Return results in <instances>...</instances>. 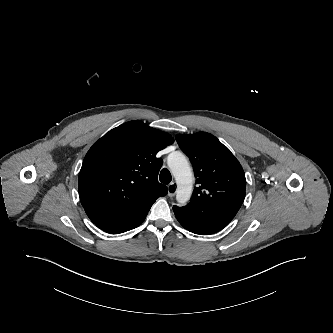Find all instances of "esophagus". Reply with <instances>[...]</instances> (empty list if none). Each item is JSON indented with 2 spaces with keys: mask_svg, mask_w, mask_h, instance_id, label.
<instances>
[{
  "mask_svg": "<svg viewBox=\"0 0 333 333\" xmlns=\"http://www.w3.org/2000/svg\"><path fill=\"white\" fill-rule=\"evenodd\" d=\"M167 189H168V196L173 197L176 193V184L174 182L170 183Z\"/></svg>",
  "mask_w": 333,
  "mask_h": 333,
  "instance_id": "34e87169",
  "label": "esophagus"
}]
</instances>
